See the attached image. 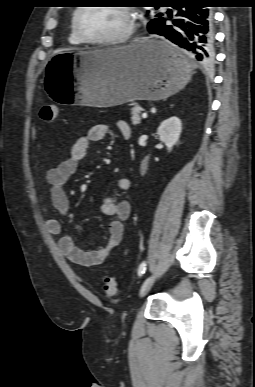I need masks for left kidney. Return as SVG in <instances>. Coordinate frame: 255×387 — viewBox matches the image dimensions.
Segmentation results:
<instances>
[{"label": "left kidney", "instance_id": "obj_1", "mask_svg": "<svg viewBox=\"0 0 255 387\" xmlns=\"http://www.w3.org/2000/svg\"><path fill=\"white\" fill-rule=\"evenodd\" d=\"M182 131L181 120L172 116L161 123L158 127V135L160 140L167 146L168 152H170L173 146L178 142Z\"/></svg>", "mask_w": 255, "mask_h": 387}]
</instances>
